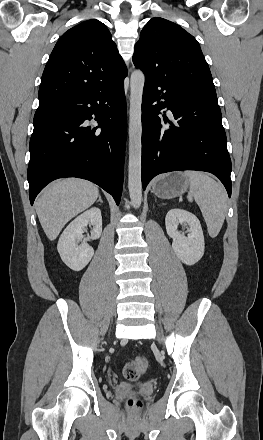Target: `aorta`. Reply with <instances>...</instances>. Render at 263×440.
I'll return each instance as SVG.
<instances>
[{
	"label": "aorta",
	"mask_w": 263,
	"mask_h": 440,
	"mask_svg": "<svg viewBox=\"0 0 263 440\" xmlns=\"http://www.w3.org/2000/svg\"><path fill=\"white\" fill-rule=\"evenodd\" d=\"M145 76L135 70L130 79L129 110V165L128 189L132 205L139 208L142 202L141 153H142V96Z\"/></svg>",
	"instance_id": "aorta-1"
}]
</instances>
